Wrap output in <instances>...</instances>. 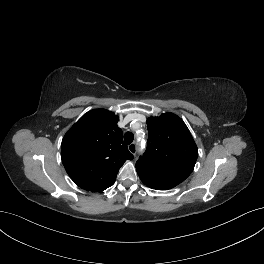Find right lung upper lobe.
I'll use <instances>...</instances> for the list:
<instances>
[{
	"label": "right lung upper lobe",
	"instance_id": "obj_1",
	"mask_svg": "<svg viewBox=\"0 0 264 264\" xmlns=\"http://www.w3.org/2000/svg\"><path fill=\"white\" fill-rule=\"evenodd\" d=\"M118 116L105 109L84 114L65 134L61 159L71 179L82 189L101 192L116 180L120 167L133 159L123 142Z\"/></svg>",
	"mask_w": 264,
	"mask_h": 264
}]
</instances>
